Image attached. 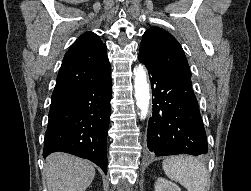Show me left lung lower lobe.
<instances>
[{"mask_svg": "<svg viewBox=\"0 0 251 191\" xmlns=\"http://www.w3.org/2000/svg\"><path fill=\"white\" fill-rule=\"evenodd\" d=\"M139 61L148 69L153 99L147 146L156 156L206 154L208 145L191 79L172 75L147 58Z\"/></svg>", "mask_w": 251, "mask_h": 191, "instance_id": "0a47b994", "label": "left lung lower lobe"}]
</instances>
